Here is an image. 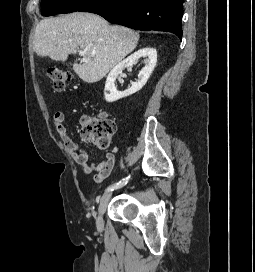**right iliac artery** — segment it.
Returning a JSON list of instances; mask_svg holds the SVG:
<instances>
[{"mask_svg": "<svg viewBox=\"0 0 255 272\" xmlns=\"http://www.w3.org/2000/svg\"><path fill=\"white\" fill-rule=\"evenodd\" d=\"M129 179H130V176L122 179L121 181H119V182H117L115 184H112L105 191H113L114 189L121 188V187H123L124 185H126L128 183Z\"/></svg>", "mask_w": 255, "mask_h": 272, "instance_id": "1", "label": "right iliac artery"}]
</instances>
